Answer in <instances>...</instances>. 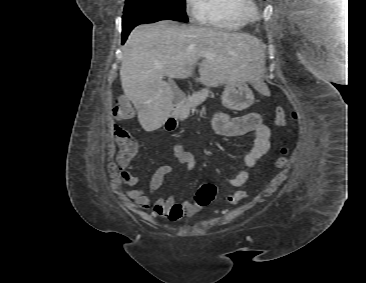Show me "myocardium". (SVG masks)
<instances>
[{"mask_svg": "<svg viewBox=\"0 0 366 283\" xmlns=\"http://www.w3.org/2000/svg\"><path fill=\"white\" fill-rule=\"evenodd\" d=\"M245 14L247 16V18L249 20H254L257 16V9L252 6V5H249L246 9H245Z\"/></svg>", "mask_w": 366, "mask_h": 283, "instance_id": "f54148a6", "label": "myocardium"}]
</instances>
